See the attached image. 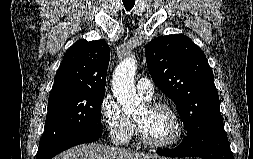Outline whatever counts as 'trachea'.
Wrapping results in <instances>:
<instances>
[{
	"mask_svg": "<svg viewBox=\"0 0 253 159\" xmlns=\"http://www.w3.org/2000/svg\"><path fill=\"white\" fill-rule=\"evenodd\" d=\"M124 7L127 11L131 10L135 4V0H123Z\"/></svg>",
	"mask_w": 253,
	"mask_h": 159,
	"instance_id": "trachea-1",
	"label": "trachea"
}]
</instances>
